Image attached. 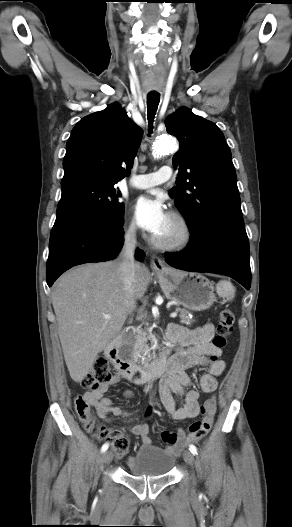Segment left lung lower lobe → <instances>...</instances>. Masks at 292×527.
Here are the masks:
<instances>
[{
    "instance_id": "1",
    "label": "left lung lower lobe",
    "mask_w": 292,
    "mask_h": 527,
    "mask_svg": "<svg viewBox=\"0 0 292 527\" xmlns=\"http://www.w3.org/2000/svg\"><path fill=\"white\" fill-rule=\"evenodd\" d=\"M165 260L178 269L229 276L250 289L249 242L244 224H215L191 233L187 248L165 253Z\"/></svg>"
}]
</instances>
